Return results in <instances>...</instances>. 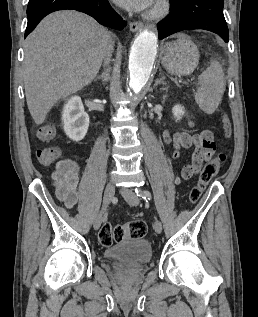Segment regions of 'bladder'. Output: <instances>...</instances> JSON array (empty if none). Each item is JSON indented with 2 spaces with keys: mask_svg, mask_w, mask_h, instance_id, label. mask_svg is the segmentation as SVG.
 <instances>
[{
  "mask_svg": "<svg viewBox=\"0 0 258 317\" xmlns=\"http://www.w3.org/2000/svg\"><path fill=\"white\" fill-rule=\"evenodd\" d=\"M104 256L107 259L145 263L152 256V249L146 240L133 239L107 248Z\"/></svg>",
  "mask_w": 258,
  "mask_h": 317,
  "instance_id": "bladder-1",
  "label": "bladder"
}]
</instances>
